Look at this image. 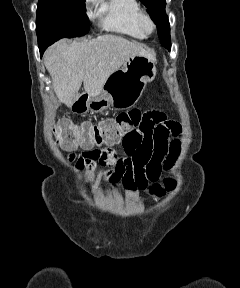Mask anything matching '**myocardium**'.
Wrapping results in <instances>:
<instances>
[{"mask_svg":"<svg viewBox=\"0 0 240 288\" xmlns=\"http://www.w3.org/2000/svg\"><path fill=\"white\" fill-rule=\"evenodd\" d=\"M148 22L151 25L150 30H146L145 23ZM137 26L139 30L144 34V36H150L156 31V22L154 18L144 10H141L137 16Z\"/></svg>","mask_w":240,"mask_h":288,"instance_id":"myocardium-1","label":"myocardium"}]
</instances>
